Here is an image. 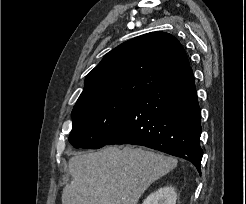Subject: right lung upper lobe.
I'll return each instance as SVG.
<instances>
[{
    "label": "right lung upper lobe",
    "mask_w": 246,
    "mask_h": 204,
    "mask_svg": "<svg viewBox=\"0 0 246 204\" xmlns=\"http://www.w3.org/2000/svg\"><path fill=\"white\" fill-rule=\"evenodd\" d=\"M188 68L185 50L173 35L144 34L104 56L86 76L76 104L102 97L141 95Z\"/></svg>",
    "instance_id": "obj_1"
}]
</instances>
